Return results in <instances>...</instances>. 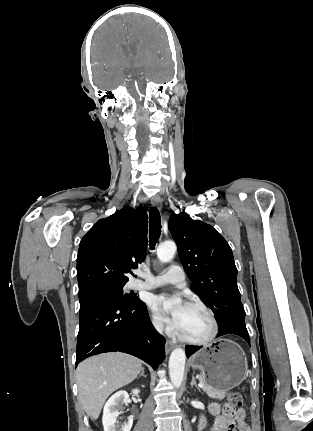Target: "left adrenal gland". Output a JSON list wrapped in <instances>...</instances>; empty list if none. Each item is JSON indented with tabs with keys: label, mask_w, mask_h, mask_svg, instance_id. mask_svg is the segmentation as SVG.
Listing matches in <instances>:
<instances>
[{
	"label": "left adrenal gland",
	"mask_w": 313,
	"mask_h": 431,
	"mask_svg": "<svg viewBox=\"0 0 313 431\" xmlns=\"http://www.w3.org/2000/svg\"><path fill=\"white\" fill-rule=\"evenodd\" d=\"M191 387L195 386V388L200 392V388L197 386L194 375H192V381L190 383Z\"/></svg>",
	"instance_id": "left-adrenal-gland-1"
}]
</instances>
